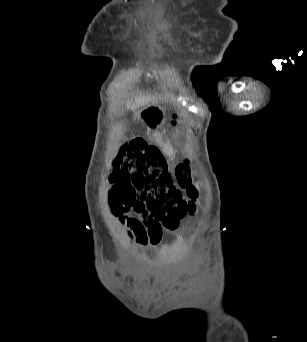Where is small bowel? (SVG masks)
<instances>
[{"mask_svg":"<svg viewBox=\"0 0 307 342\" xmlns=\"http://www.w3.org/2000/svg\"><path fill=\"white\" fill-rule=\"evenodd\" d=\"M134 212L137 216H122L118 220L128 241L138 248L159 243L162 238L160 223L144 210Z\"/></svg>","mask_w":307,"mask_h":342,"instance_id":"obj_1","label":"small bowel"}]
</instances>
